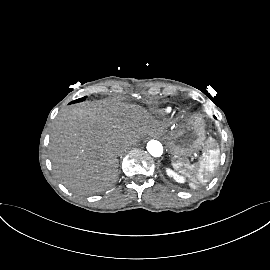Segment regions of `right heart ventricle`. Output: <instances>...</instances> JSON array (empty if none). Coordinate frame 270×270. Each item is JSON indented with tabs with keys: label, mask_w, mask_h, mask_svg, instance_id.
<instances>
[{
	"label": "right heart ventricle",
	"mask_w": 270,
	"mask_h": 270,
	"mask_svg": "<svg viewBox=\"0 0 270 270\" xmlns=\"http://www.w3.org/2000/svg\"><path fill=\"white\" fill-rule=\"evenodd\" d=\"M168 111H169V109H166V110H165V112H168Z\"/></svg>",
	"instance_id": "e07e8e85"
}]
</instances>
